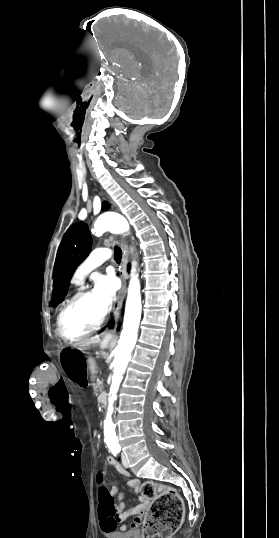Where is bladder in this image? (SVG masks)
Listing matches in <instances>:
<instances>
[{"instance_id":"31cf9c89","label":"bladder","mask_w":279,"mask_h":538,"mask_svg":"<svg viewBox=\"0 0 279 538\" xmlns=\"http://www.w3.org/2000/svg\"><path fill=\"white\" fill-rule=\"evenodd\" d=\"M107 538H139L138 532H108Z\"/></svg>"}]
</instances>
